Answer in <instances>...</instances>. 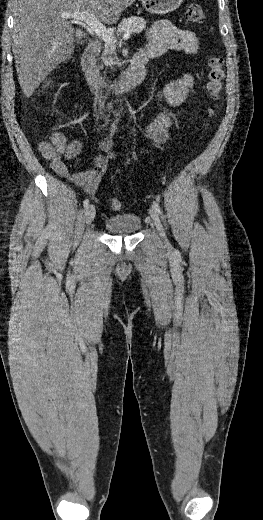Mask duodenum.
Instances as JSON below:
<instances>
[{
  "instance_id": "obj_1",
  "label": "duodenum",
  "mask_w": 263,
  "mask_h": 520,
  "mask_svg": "<svg viewBox=\"0 0 263 520\" xmlns=\"http://www.w3.org/2000/svg\"><path fill=\"white\" fill-rule=\"evenodd\" d=\"M97 46L91 42L84 50L81 67L89 87L97 94L112 93L122 95L134 90L146 76V64L150 56L144 51L137 52L131 62L129 73L121 81H106L95 64Z\"/></svg>"
}]
</instances>
